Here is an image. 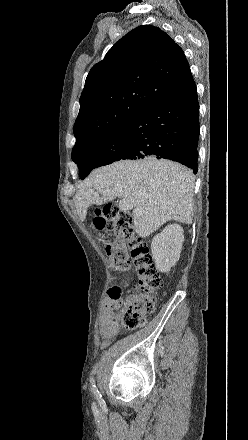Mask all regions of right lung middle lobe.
Segmentation results:
<instances>
[{"label": "right lung middle lobe", "instance_id": "dd1d6c3e", "mask_svg": "<svg viewBox=\"0 0 248 440\" xmlns=\"http://www.w3.org/2000/svg\"><path fill=\"white\" fill-rule=\"evenodd\" d=\"M130 143L128 125L94 139L72 151V160L77 163L79 176L84 179L97 167L118 161L125 154Z\"/></svg>", "mask_w": 248, "mask_h": 440}]
</instances>
